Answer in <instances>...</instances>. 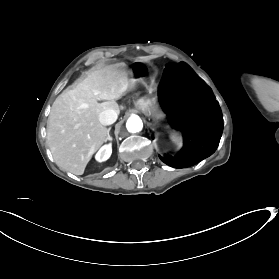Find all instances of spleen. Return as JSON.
I'll return each mask as SVG.
<instances>
[{
  "label": "spleen",
  "mask_w": 279,
  "mask_h": 279,
  "mask_svg": "<svg viewBox=\"0 0 279 279\" xmlns=\"http://www.w3.org/2000/svg\"><path fill=\"white\" fill-rule=\"evenodd\" d=\"M174 142H175V144H178V140L175 137H174Z\"/></svg>",
  "instance_id": "spleen-1"
}]
</instances>
